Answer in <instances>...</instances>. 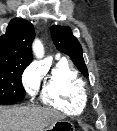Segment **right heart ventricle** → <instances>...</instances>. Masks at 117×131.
<instances>
[{"mask_svg": "<svg viewBox=\"0 0 117 131\" xmlns=\"http://www.w3.org/2000/svg\"><path fill=\"white\" fill-rule=\"evenodd\" d=\"M41 100L68 114H80L88 102V90L79 73L65 60H59L44 77Z\"/></svg>", "mask_w": 117, "mask_h": 131, "instance_id": "obj_1", "label": "right heart ventricle"}]
</instances>
